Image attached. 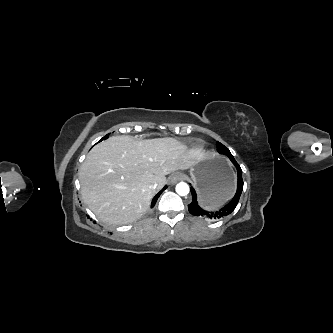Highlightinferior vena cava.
<instances>
[{"instance_id":"602c4592","label":"inferior vena cava","mask_w":333,"mask_h":333,"mask_svg":"<svg viewBox=\"0 0 333 333\" xmlns=\"http://www.w3.org/2000/svg\"><path fill=\"white\" fill-rule=\"evenodd\" d=\"M151 187H152L153 189H157L158 184H157V183H154Z\"/></svg>"}]
</instances>
